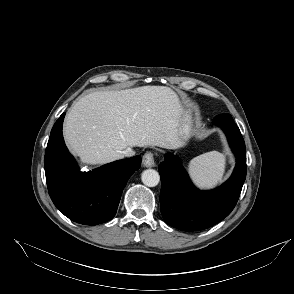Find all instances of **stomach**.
Returning <instances> with one entry per match:
<instances>
[{
	"instance_id": "1",
	"label": "stomach",
	"mask_w": 294,
	"mask_h": 294,
	"mask_svg": "<svg viewBox=\"0 0 294 294\" xmlns=\"http://www.w3.org/2000/svg\"><path fill=\"white\" fill-rule=\"evenodd\" d=\"M194 120L190 110L184 109L178 124L179 146H184L192 137L194 132Z\"/></svg>"
}]
</instances>
